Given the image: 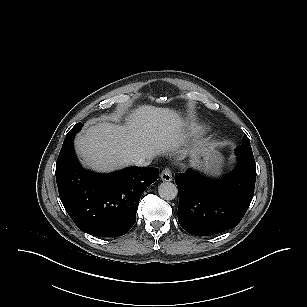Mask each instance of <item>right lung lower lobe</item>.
<instances>
[{
	"mask_svg": "<svg viewBox=\"0 0 307 307\" xmlns=\"http://www.w3.org/2000/svg\"><path fill=\"white\" fill-rule=\"evenodd\" d=\"M68 133L56 162L60 199L74 223L98 237L126 234L136 222L140 197L159 177L157 168L130 167L96 174L80 167Z\"/></svg>",
	"mask_w": 307,
	"mask_h": 307,
	"instance_id": "98d812e1",
	"label": "right lung lower lobe"
}]
</instances>
